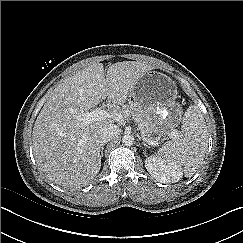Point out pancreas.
<instances>
[{
	"label": "pancreas",
	"mask_w": 243,
	"mask_h": 243,
	"mask_svg": "<svg viewBox=\"0 0 243 243\" xmlns=\"http://www.w3.org/2000/svg\"><path fill=\"white\" fill-rule=\"evenodd\" d=\"M121 113L125 117L132 116L134 119H137V123L141 131L148 137L152 135L153 131L151 122L147 115L139 108H137L133 104L124 105Z\"/></svg>",
	"instance_id": "pancreas-1"
}]
</instances>
